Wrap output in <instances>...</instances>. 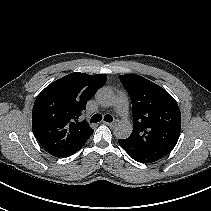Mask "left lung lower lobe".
Here are the masks:
<instances>
[{
    "label": "left lung lower lobe",
    "instance_id": "0a47b994",
    "mask_svg": "<svg viewBox=\"0 0 211 211\" xmlns=\"http://www.w3.org/2000/svg\"><path fill=\"white\" fill-rule=\"evenodd\" d=\"M118 142H119L120 146L127 152V154L131 158L136 160L137 162H140V163H152V162H155V161L159 160L158 158H156V157H154V156H152L150 154H147L145 152L129 148L125 144L124 140H122V139H119Z\"/></svg>",
    "mask_w": 211,
    "mask_h": 211
}]
</instances>
